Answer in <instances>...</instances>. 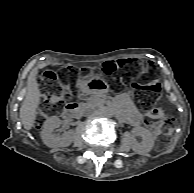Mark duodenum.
<instances>
[{
    "mask_svg": "<svg viewBox=\"0 0 194 193\" xmlns=\"http://www.w3.org/2000/svg\"><path fill=\"white\" fill-rule=\"evenodd\" d=\"M79 111V105L75 102H71L65 107L63 117L67 120L74 119L79 114Z\"/></svg>",
    "mask_w": 194,
    "mask_h": 193,
    "instance_id": "obj_1",
    "label": "duodenum"
}]
</instances>
